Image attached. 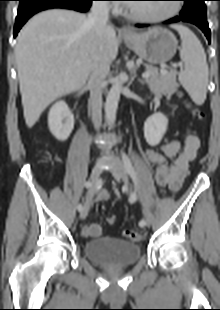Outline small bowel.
Returning <instances> with one entry per match:
<instances>
[{
    "label": "small bowel",
    "instance_id": "c3829d8e",
    "mask_svg": "<svg viewBox=\"0 0 220 310\" xmlns=\"http://www.w3.org/2000/svg\"><path fill=\"white\" fill-rule=\"evenodd\" d=\"M200 141L190 131H186L181 140H172L160 146V150H147L144 160L155 166L153 178L155 183L161 187H168L176 192L181 188L182 182L187 174L189 163L195 159ZM172 160V163L168 162ZM110 193L101 191L96 201H105L110 198ZM92 200L89 204L92 205ZM103 232L102 226L97 223L83 226L82 233L87 238L99 237Z\"/></svg>",
    "mask_w": 220,
    "mask_h": 310
}]
</instances>
